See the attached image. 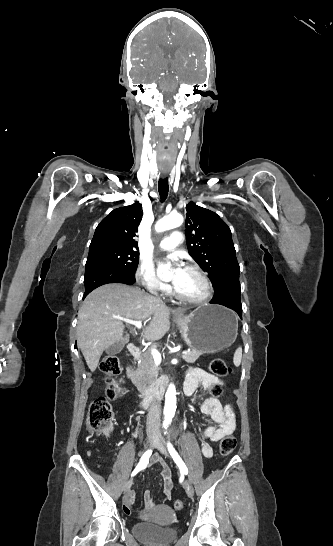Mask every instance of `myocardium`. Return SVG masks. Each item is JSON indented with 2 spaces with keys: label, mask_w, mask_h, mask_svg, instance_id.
Wrapping results in <instances>:
<instances>
[{
  "label": "myocardium",
  "mask_w": 333,
  "mask_h": 546,
  "mask_svg": "<svg viewBox=\"0 0 333 546\" xmlns=\"http://www.w3.org/2000/svg\"><path fill=\"white\" fill-rule=\"evenodd\" d=\"M186 269L195 272L201 278L205 286V293L200 297L190 298L180 294L178 290H174L175 297L190 304H202L208 301L213 295V286L207 274L199 266L193 264L188 265Z\"/></svg>",
  "instance_id": "1"
}]
</instances>
